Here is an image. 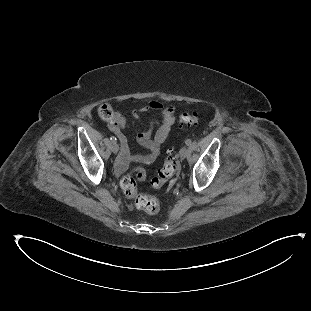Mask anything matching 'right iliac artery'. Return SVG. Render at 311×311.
I'll return each mask as SVG.
<instances>
[{"instance_id": "1", "label": "right iliac artery", "mask_w": 311, "mask_h": 311, "mask_svg": "<svg viewBox=\"0 0 311 311\" xmlns=\"http://www.w3.org/2000/svg\"><path fill=\"white\" fill-rule=\"evenodd\" d=\"M110 140H111L112 142H116V137L111 136V137H110Z\"/></svg>"}]
</instances>
